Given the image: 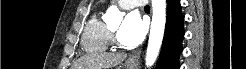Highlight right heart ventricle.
I'll return each mask as SVG.
<instances>
[{
	"instance_id": "1",
	"label": "right heart ventricle",
	"mask_w": 246,
	"mask_h": 69,
	"mask_svg": "<svg viewBox=\"0 0 246 69\" xmlns=\"http://www.w3.org/2000/svg\"><path fill=\"white\" fill-rule=\"evenodd\" d=\"M112 45L111 29L99 12H95L88 20L81 40L85 52H103Z\"/></svg>"
}]
</instances>
